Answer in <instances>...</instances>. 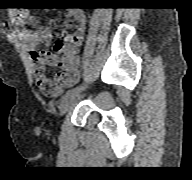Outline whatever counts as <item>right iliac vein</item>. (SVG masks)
I'll use <instances>...</instances> for the list:
<instances>
[{"mask_svg": "<svg viewBox=\"0 0 192 180\" xmlns=\"http://www.w3.org/2000/svg\"><path fill=\"white\" fill-rule=\"evenodd\" d=\"M80 97L81 96L77 94L63 101L59 108L60 116H63L64 114H66L67 111H69L75 105V103L80 99Z\"/></svg>", "mask_w": 192, "mask_h": 180, "instance_id": "obj_1", "label": "right iliac vein"}]
</instances>
